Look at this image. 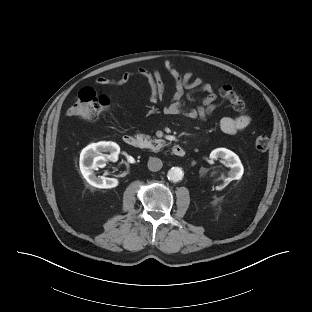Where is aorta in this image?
I'll return each instance as SVG.
<instances>
[{
  "label": "aorta",
  "mask_w": 312,
  "mask_h": 312,
  "mask_svg": "<svg viewBox=\"0 0 312 312\" xmlns=\"http://www.w3.org/2000/svg\"><path fill=\"white\" fill-rule=\"evenodd\" d=\"M183 176V170L179 167H173L167 173L168 179L173 182L181 181L183 179Z\"/></svg>",
  "instance_id": "obj_1"
}]
</instances>
